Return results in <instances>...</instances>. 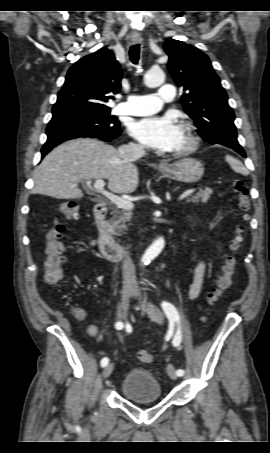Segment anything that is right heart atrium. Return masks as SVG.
Segmentation results:
<instances>
[{"instance_id": "right-heart-atrium-1", "label": "right heart atrium", "mask_w": 270, "mask_h": 453, "mask_svg": "<svg viewBox=\"0 0 270 453\" xmlns=\"http://www.w3.org/2000/svg\"><path fill=\"white\" fill-rule=\"evenodd\" d=\"M134 147H138V145L133 144Z\"/></svg>"}]
</instances>
